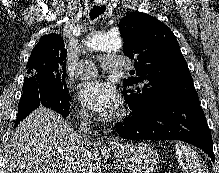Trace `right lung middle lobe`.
Wrapping results in <instances>:
<instances>
[{
  "label": "right lung middle lobe",
  "mask_w": 219,
  "mask_h": 173,
  "mask_svg": "<svg viewBox=\"0 0 219 173\" xmlns=\"http://www.w3.org/2000/svg\"><path fill=\"white\" fill-rule=\"evenodd\" d=\"M26 68L27 76L24 78L23 93L44 87L57 92L62 99H70L65 81L66 69L58 64L29 60Z\"/></svg>",
  "instance_id": "right-lung-middle-lobe-1"
}]
</instances>
